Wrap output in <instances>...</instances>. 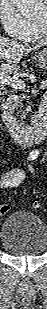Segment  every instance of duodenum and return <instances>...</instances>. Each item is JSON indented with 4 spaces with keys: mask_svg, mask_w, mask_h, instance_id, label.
<instances>
[{
    "mask_svg": "<svg viewBox=\"0 0 47 309\" xmlns=\"http://www.w3.org/2000/svg\"><path fill=\"white\" fill-rule=\"evenodd\" d=\"M3 119L9 132L16 141L25 146L39 143L43 140L46 130V117L44 113H38L32 127L20 123L12 115L8 106H5Z\"/></svg>",
    "mask_w": 47,
    "mask_h": 309,
    "instance_id": "410a0bca",
    "label": "duodenum"
}]
</instances>
